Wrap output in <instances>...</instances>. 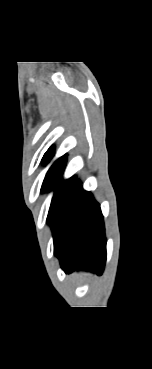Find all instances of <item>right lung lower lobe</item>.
I'll use <instances>...</instances> for the list:
<instances>
[{
	"label": "right lung lower lobe",
	"instance_id": "1",
	"mask_svg": "<svg viewBox=\"0 0 152 369\" xmlns=\"http://www.w3.org/2000/svg\"><path fill=\"white\" fill-rule=\"evenodd\" d=\"M54 253L65 272L73 269L100 275L106 262V238L99 204L74 180L53 227Z\"/></svg>",
	"mask_w": 152,
	"mask_h": 369
}]
</instances>
